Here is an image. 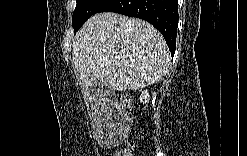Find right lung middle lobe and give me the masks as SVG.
<instances>
[{
	"label": "right lung middle lobe",
	"mask_w": 247,
	"mask_h": 156,
	"mask_svg": "<svg viewBox=\"0 0 247 156\" xmlns=\"http://www.w3.org/2000/svg\"><path fill=\"white\" fill-rule=\"evenodd\" d=\"M77 5L72 16V26L75 31L94 14L98 13L107 0H76Z\"/></svg>",
	"instance_id": "obj_1"
}]
</instances>
